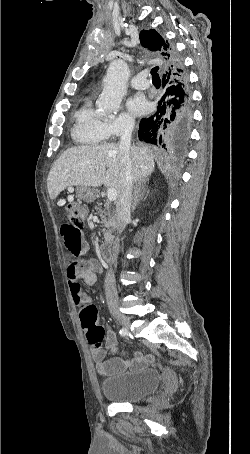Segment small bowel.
I'll use <instances>...</instances> for the list:
<instances>
[{
	"mask_svg": "<svg viewBox=\"0 0 250 454\" xmlns=\"http://www.w3.org/2000/svg\"><path fill=\"white\" fill-rule=\"evenodd\" d=\"M60 231L68 250L67 279L74 304L80 311L85 305L91 304V298L82 287L81 282L93 286L101 272V267L96 260L81 258L87 250V243L80 230L73 228L70 224H63ZM105 344L107 350H116V335L111 329L106 333ZM91 355L98 373L102 376L115 374L130 367L139 368L153 359L150 355L142 354H136L132 360H124L119 357L107 359L106 351L99 347H93Z\"/></svg>",
	"mask_w": 250,
	"mask_h": 454,
	"instance_id": "small-bowel-1",
	"label": "small bowel"
}]
</instances>
